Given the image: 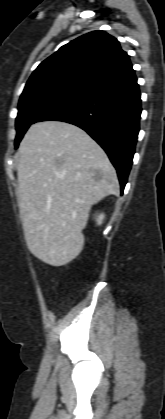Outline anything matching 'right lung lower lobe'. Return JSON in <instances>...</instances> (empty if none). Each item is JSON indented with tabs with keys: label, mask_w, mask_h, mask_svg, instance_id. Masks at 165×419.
Wrapping results in <instances>:
<instances>
[{
	"label": "right lung lower lobe",
	"mask_w": 165,
	"mask_h": 419,
	"mask_svg": "<svg viewBox=\"0 0 165 419\" xmlns=\"http://www.w3.org/2000/svg\"><path fill=\"white\" fill-rule=\"evenodd\" d=\"M141 94L134 70L43 115L85 130L105 150L117 170L123 193L139 132Z\"/></svg>",
	"instance_id": "right-lung-lower-lobe-1"
}]
</instances>
